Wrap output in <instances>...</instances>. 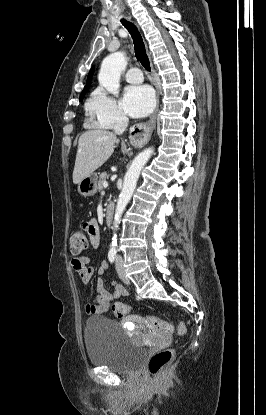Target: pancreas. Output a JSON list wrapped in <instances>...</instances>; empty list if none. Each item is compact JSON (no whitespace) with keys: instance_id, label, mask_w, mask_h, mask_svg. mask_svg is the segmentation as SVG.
<instances>
[{"instance_id":"1","label":"pancreas","mask_w":266,"mask_h":415,"mask_svg":"<svg viewBox=\"0 0 266 415\" xmlns=\"http://www.w3.org/2000/svg\"><path fill=\"white\" fill-rule=\"evenodd\" d=\"M106 177H107V173L106 172H103V173L100 174L99 179L97 181V189L98 190H101L102 189V187H103L102 184L106 180Z\"/></svg>"}]
</instances>
